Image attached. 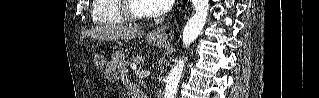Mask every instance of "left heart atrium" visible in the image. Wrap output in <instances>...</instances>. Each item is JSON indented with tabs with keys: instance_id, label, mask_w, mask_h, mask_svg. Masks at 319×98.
Returning <instances> with one entry per match:
<instances>
[{
	"instance_id": "1",
	"label": "left heart atrium",
	"mask_w": 319,
	"mask_h": 98,
	"mask_svg": "<svg viewBox=\"0 0 319 98\" xmlns=\"http://www.w3.org/2000/svg\"><path fill=\"white\" fill-rule=\"evenodd\" d=\"M145 10L149 13L160 15L166 13L173 4V0H141Z\"/></svg>"
}]
</instances>
